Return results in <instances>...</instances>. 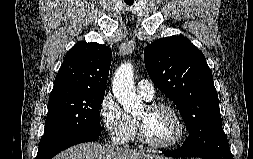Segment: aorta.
<instances>
[{"instance_id": "762f6f07", "label": "aorta", "mask_w": 253, "mask_h": 159, "mask_svg": "<svg viewBox=\"0 0 253 159\" xmlns=\"http://www.w3.org/2000/svg\"><path fill=\"white\" fill-rule=\"evenodd\" d=\"M113 93L127 113L140 111L143 108L141 98L136 94L133 80V66L124 63L116 70L113 79Z\"/></svg>"}]
</instances>
